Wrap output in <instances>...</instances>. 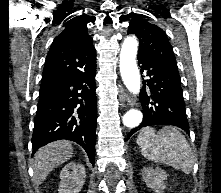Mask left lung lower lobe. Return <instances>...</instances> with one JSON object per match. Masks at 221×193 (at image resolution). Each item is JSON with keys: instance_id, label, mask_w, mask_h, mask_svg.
I'll return each mask as SVG.
<instances>
[{"instance_id": "left-lung-lower-lobe-1", "label": "left lung lower lobe", "mask_w": 221, "mask_h": 193, "mask_svg": "<svg viewBox=\"0 0 221 193\" xmlns=\"http://www.w3.org/2000/svg\"><path fill=\"white\" fill-rule=\"evenodd\" d=\"M138 64L141 73L148 77L140 94L143 120L128 133V138L140 128L152 125H173L189 134L178 68L141 54Z\"/></svg>"}]
</instances>
